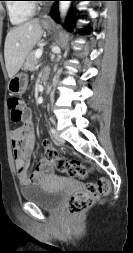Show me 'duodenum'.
Returning a JSON list of instances; mask_svg holds the SVG:
<instances>
[{"label":"duodenum","mask_w":133,"mask_h":253,"mask_svg":"<svg viewBox=\"0 0 133 253\" xmlns=\"http://www.w3.org/2000/svg\"><path fill=\"white\" fill-rule=\"evenodd\" d=\"M42 79H43V80H46V74L43 75Z\"/></svg>","instance_id":"410a0bca"}]
</instances>
